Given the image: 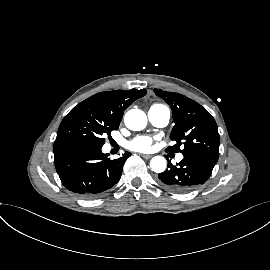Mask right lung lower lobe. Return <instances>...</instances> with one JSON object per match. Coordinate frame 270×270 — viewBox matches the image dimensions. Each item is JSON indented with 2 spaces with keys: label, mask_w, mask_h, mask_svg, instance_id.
<instances>
[{
  "label": "right lung lower lobe",
  "mask_w": 270,
  "mask_h": 270,
  "mask_svg": "<svg viewBox=\"0 0 270 270\" xmlns=\"http://www.w3.org/2000/svg\"><path fill=\"white\" fill-rule=\"evenodd\" d=\"M102 147L81 143L54 144V163L62 184L84 198H93L113 187L120 179L125 161L131 155L111 160Z\"/></svg>",
  "instance_id": "right-lung-lower-lobe-1"
}]
</instances>
